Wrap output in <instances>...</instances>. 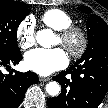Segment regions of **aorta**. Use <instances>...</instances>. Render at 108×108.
<instances>
[{
    "label": "aorta",
    "mask_w": 108,
    "mask_h": 108,
    "mask_svg": "<svg viewBox=\"0 0 108 108\" xmlns=\"http://www.w3.org/2000/svg\"><path fill=\"white\" fill-rule=\"evenodd\" d=\"M53 38L54 33L50 29L39 30L36 34L38 44L45 48L51 47ZM46 91L50 96H57L60 93V85L55 81L49 82Z\"/></svg>",
    "instance_id": "obj_1"
}]
</instances>
